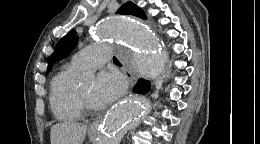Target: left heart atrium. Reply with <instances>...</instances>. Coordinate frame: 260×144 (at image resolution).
Returning a JSON list of instances; mask_svg holds the SVG:
<instances>
[{"instance_id": "1", "label": "left heart atrium", "mask_w": 260, "mask_h": 144, "mask_svg": "<svg viewBox=\"0 0 260 144\" xmlns=\"http://www.w3.org/2000/svg\"><path fill=\"white\" fill-rule=\"evenodd\" d=\"M124 87V79L118 72H102L93 91V100L98 107L105 106L116 100L122 94Z\"/></svg>"}]
</instances>
